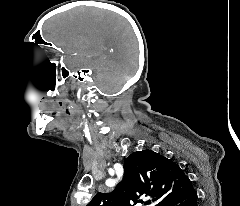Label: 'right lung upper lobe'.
Wrapping results in <instances>:
<instances>
[{
    "label": "right lung upper lobe",
    "mask_w": 240,
    "mask_h": 206,
    "mask_svg": "<svg viewBox=\"0 0 240 206\" xmlns=\"http://www.w3.org/2000/svg\"><path fill=\"white\" fill-rule=\"evenodd\" d=\"M191 181L171 159L154 151L131 154L124 163V177L111 193H98L87 206H134L144 196L163 206L184 193Z\"/></svg>",
    "instance_id": "cb5924a9"
}]
</instances>
